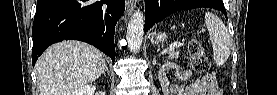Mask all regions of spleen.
I'll use <instances>...</instances> for the list:
<instances>
[{
    "label": "spleen",
    "instance_id": "3e777b00",
    "mask_svg": "<svg viewBox=\"0 0 277 95\" xmlns=\"http://www.w3.org/2000/svg\"><path fill=\"white\" fill-rule=\"evenodd\" d=\"M205 23L213 47L214 62L217 66H222L229 58L231 51L228 29L222 20L211 12L205 13Z\"/></svg>",
    "mask_w": 277,
    "mask_h": 95
}]
</instances>
